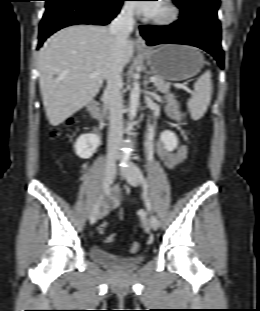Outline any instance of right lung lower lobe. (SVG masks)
I'll return each instance as SVG.
<instances>
[{
    "label": "right lung lower lobe",
    "mask_w": 260,
    "mask_h": 311,
    "mask_svg": "<svg viewBox=\"0 0 260 311\" xmlns=\"http://www.w3.org/2000/svg\"><path fill=\"white\" fill-rule=\"evenodd\" d=\"M46 12L39 29V47L57 30L75 24H108L123 0H45Z\"/></svg>",
    "instance_id": "obj_1"
}]
</instances>
